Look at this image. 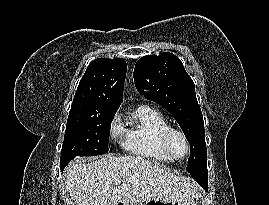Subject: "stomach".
<instances>
[{"label": "stomach", "instance_id": "1", "mask_svg": "<svg viewBox=\"0 0 269 205\" xmlns=\"http://www.w3.org/2000/svg\"><path fill=\"white\" fill-rule=\"evenodd\" d=\"M117 205H134L130 202H120ZM138 205H196L194 198L180 200L149 199L144 204Z\"/></svg>", "mask_w": 269, "mask_h": 205}]
</instances>
